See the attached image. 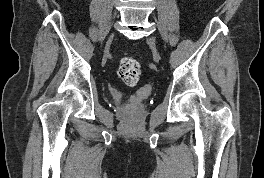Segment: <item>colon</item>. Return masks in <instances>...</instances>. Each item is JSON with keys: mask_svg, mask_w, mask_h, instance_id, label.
Wrapping results in <instances>:
<instances>
[{"mask_svg": "<svg viewBox=\"0 0 264 178\" xmlns=\"http://www.w3.org/2000/svg\"><path fill=\"white\" fill-rule=\"evenodd\" d=\"M117 74L125 84L134 86L140 79L141 66L139 62L133 58H123L117 68Z\"/></svg>", "mask_w": 264, "mask_h": 178, "instance_id": "5ec220e1", "label": "colon"}]
</instances>
